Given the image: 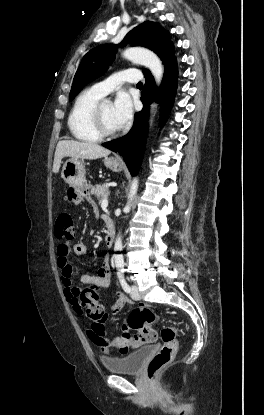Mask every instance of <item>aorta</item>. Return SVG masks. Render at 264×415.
I'll return each instance as SVG.
<instances>
[{
    "mask_svg": "<svg viewBox=\"0 0 264 415\" xmlns=\"http://www.w3.org/2000/svg\"><path fill=\"white\" fill-rule=\"evenodd\" d=\"M123 56L128 59L131 60L135 63H139L142 64L144 66H146L147 68H149V70L151 71L152 75L154 76L156 82L159 84L162 80L163 77V66H162V62L159 59V57L153 53L152 51L145 49V48H141V47H131L126 49L123 52ZM105 103L109 104L110 101L109 100H105ZM154 107V105H153ZM138 189V180L134 179L132 184H131V188H130V192L128 194V202L124 208L125 212H129L130 208H131V202L134 199V196L137 192ZM122 239L121 236L118 235V237L115 240V245H114V250L117 252L122 251ZM114 262H115V266L117 268H122L124 266V258L123 255L118 253L114 255Z\"/></svg>",
    "mask_w": 264,
    "mask_h": 415,
    "instance_id": "obj_1",
    "label": "aorta"
}]
</instances>
